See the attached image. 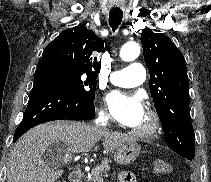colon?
<instances>
[{
  "instance_id": "obj_1",
  "label": "colon",
  "mask_w": 211,
  "mask_h": 182,
  "mask_svg": "<svg viewBox=\"0 0 211 182\" xmlns=\"http://www.w3.org/2000/svg\"><path fill=\"white\" fill-rule=\"evenodd\" d=\"M153 172L156 175H166L172 172V165L169 162L163 160H157L152 165ZM57 182H65V181H57Z\"/></svg>"
}]
</instances>
